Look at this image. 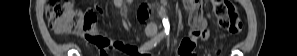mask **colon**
<instances>
[{"instance_id": "1", "label": "colon", "mask_w": 297, "mask_h": 56, "mask_svg": "<svg viewBox=\"0 0 297 56\" xmlns=\"http://www.w3.org/2000/svg\"><path fill=\"white\" fill-rule=\"evenodd\" d=\"M212 4L219 28L227 30L231 34L241 31V17L232 2L215 0L212 1ZM46 16L50 28L59 35L98 33L96 29L97 10L93 8L76 9L73 1L48 0ZM215 55H219V51Z\"/></svg>"}]
</instances>
